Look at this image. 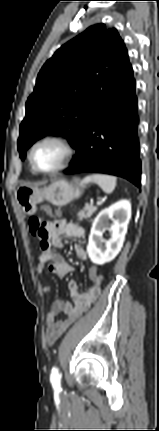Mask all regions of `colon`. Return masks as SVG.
<instances>
[{"label":"colon","mask_w":159,"mask_h":431,"mask_svg":"<svg viewBox=\"0 0 159 431\" xmlns=\"http://www.w3.org/2000/svg\"><path fill=\"white\" fill-rule=\"evenodd\" d=\"M41 208L45 212L51 214V209L48 206L43 205ZM44 222L45 221L43 219L38 218V217H31L30 218L29 230L33 236L38 237V236L44 234ZM97 271H98L97 266H95V265L90 266V273L88 274V279H89L90 283H92L93 285H96V282H95L96 281L95 280L96 274L95 273H97Z\"/></svg>","instance_id":"1"}]
</instances>
